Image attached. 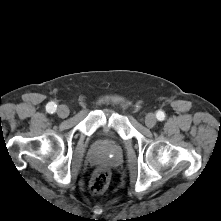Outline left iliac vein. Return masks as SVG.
Here are the masks:
<instances>
[{"instance_id":"1","label":"left iliac vein","mask_w":221,"mask_h":221,"mask_svg":"<svg viewBox=\"0 0 221 221\" xmlns=\"http://www.w3.org/2000/svg\"><path fill=\"white\" fill-rule=\"evenodd\" d=\"M157 119L153 113H148L145 116V124L147 127L152 128L156 125Z\"/></svg>"}]
</instances>
